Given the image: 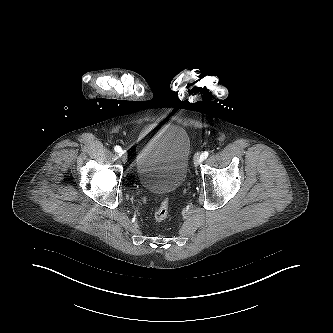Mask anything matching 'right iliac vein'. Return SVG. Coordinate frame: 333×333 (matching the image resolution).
Listing matches in <instances>:
<instances>
[{"instance_id": "63e3f726", "label": "right iliac vein", "mask_w": 333, "mask_h": 333, "mask_svg": "<svg viewBox=\"0 0 333 333\" xmlns=\"http://www.w3.org/2000/svg\"><path fill=\"white\" fill-rule=\"evenodd\" d=\"M120 156H121L123 162H127L128 155L125 151H122Z\"/></svg>"}]
</instances>
